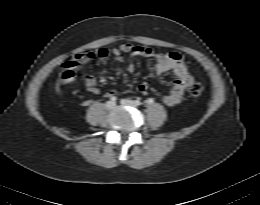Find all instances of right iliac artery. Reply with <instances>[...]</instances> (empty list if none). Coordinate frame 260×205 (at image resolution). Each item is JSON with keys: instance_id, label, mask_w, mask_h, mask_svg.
<instances>
[{"instance_id": "82829eb1", "label": "right iliac artery", "mask_w": 260, "mask_h": 205, "mask_svg": "<svg viewBox=\"0 0 260 205\" xmlns=\"http://www.w3.org/2000/svg\"><path fill=\"white\" fill-rule=\"evenodd\" d=\"M110 100H111L112 102H115V101L117 100V98H116L115 96H111Z\"/></svg>"}]
</instances>
